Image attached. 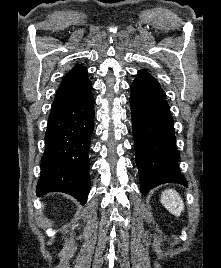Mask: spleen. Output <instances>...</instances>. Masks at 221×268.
Here are the masks:
<instances>
[{
  "label": "spleen",
  "instance_id": "1",
  "mask_svg": "<svg viewBox=\"0 0 221 268\" xmlns=\"http://www.w3.org/2000/svg\"><path fill=\"white\" fill-rule=\"evenodd\" d=\"M161 203L176 217H179L184 209L183 201L174 189H168L162 193Z\"/></svg>",
  "mask_w": 221,
  "mask_h": 268
}]
</instances>
